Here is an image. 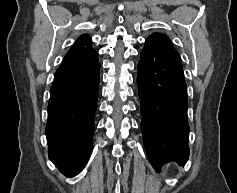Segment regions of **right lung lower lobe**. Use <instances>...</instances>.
<instances>
[{"instance_id": "right-lung-lower-lobe-1", "label": "right lung lower lobe", "mask_w": 237, "mask_h": 193, "mask_svg": "<svg viewBox=\"0 0 237 193\" xmlns=\"http://www.w3.org/2000/svg\"><path fill=\"white\" fill-rule=\"evenodd\" d=\"M97 56L95 50L68 51L50 89L48 154L67 177L84 168L92 150L100 80Z\"/></svg>"}]
</instances>
